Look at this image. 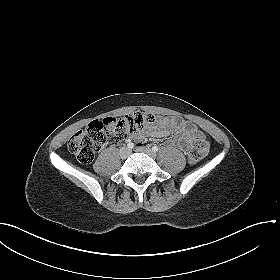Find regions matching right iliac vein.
Here are the masks:
<instances>
[{"mask_svg": "<svg viewBox=\"0 0 280 280\" xmlns=\"http://www.w3.org/2000/svg\"><path fill=\"white\" fill-rule=\"evenodd\" d=\"M119 155L122 159L127 158L130 155V149L123 147L120 149Z\"/></svg>", "mask_w": 280, "mask_h": 280, "instance_id": "obj_1", "label": "right iliac vein"}]
</instances>
